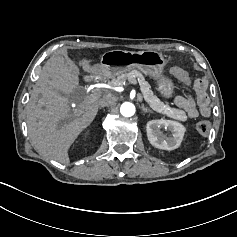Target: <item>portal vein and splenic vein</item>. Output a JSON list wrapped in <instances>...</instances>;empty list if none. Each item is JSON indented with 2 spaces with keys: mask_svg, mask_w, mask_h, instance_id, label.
I'll use <instances>...</instances> for the list:
<instances>
[{
  "mask_svg": "<svg viewBox=\"0 0 237 237\" xmlns=\"http://www.w3.org/2000/svg\"><path fill=\"white\" fill-rule=\"evenodd\" d=\"M135 81H136V80H135L134 78L132 79V78L130 77L127 82H130V83H132L134 86H136L137 83H136ZM136 87H137V86H136Z\"/></svg>",
  "mask_w": 237,
  "mask_h": 237,
  "instance_id": "18ae733b",
  "label": "portal vein and splenic vein"
}]
</instances>
